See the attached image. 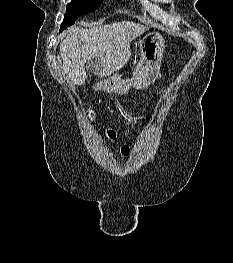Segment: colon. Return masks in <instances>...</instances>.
<instances>
[{"label":"colon","instance_id":"5ec220e1","mask_svg":"<svg viewBox=\"0 0 233 263\" xmlns=\"http://www.w3.org/2000/svg\"><path fill=\"white\" fill-rule=\"evenodd\" d=\"M105 134H106L107 138H108L110 141H114L115 138H116V134H115V132H114L113 130H110V129H109V130H106V131H105ZM120 151H121V153H122L124 156H126V155L129 154L130 148H129L128 146L124 145V146H122V147L120 148Z\"/></svg>","mask_w":233,"mask_h":263}]
</instances>
